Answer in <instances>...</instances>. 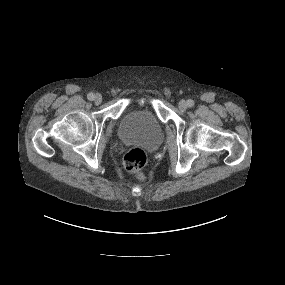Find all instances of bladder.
<instances>
[{
  "mask_svg": "<svg viewBox=\"0 0 285 285\" xmlns=\"http://www.w3.org/2000/svg\"><path fill=\"white\" fill-rule=\"evenodd\" d=\"M120 134L124 139L136 141L148 149H155L163 139L162 126L154 115L125 118Z\"/></svg>",
  "mask_w": 285,
  "mask_h": 285,
  "instance_id": "1",
  "label": "bladder"
}]
</instances>
